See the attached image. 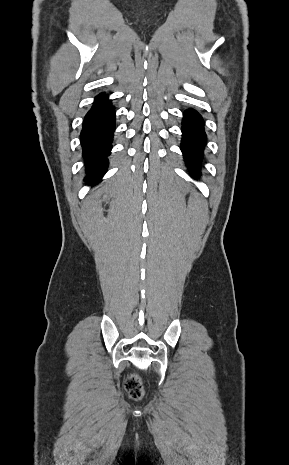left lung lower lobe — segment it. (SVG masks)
Masks as SVG:
<instances>
[{
	"label": "left lung lower lobe",
	"mask_w": 289,
	"mask_h": 465,
	"mask_svg": "<svg viewBox=\"0 0 289 465\" xmlns=\"http://www.w3.org/2000/svg\"><path fill=\"white\" fill-rule=\"evenodd\" d=\"M182 133L181 150L186 165L194 174H199L206 134L202 117L195 110L184 112Z\"/></svg>",
	"instance_id": "0a47b994"
}]
</instances>
